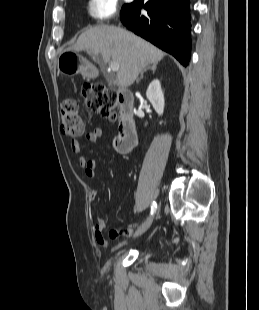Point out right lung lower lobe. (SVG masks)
Segmentation results:
<instances>
[{
  "instance_id": "right-lung-lower-lobe-1",
  "label": "right lung lower lobe",
  "mask_w": 259,
  "mask_h": 310,
  "mask_svg": "<svg viewBox=\"0 0 259 310\" xmlns=\"http://www.w3.org/2000/svg\"><path fill=\"white\" fill-rule=\"evenodd\" d=\"M142 6L139 0L131 3L121 12L122 23L187 66L191 55L189 0H149L144 5L146 16H140Z\"/></svg>"
}]
</instances>
